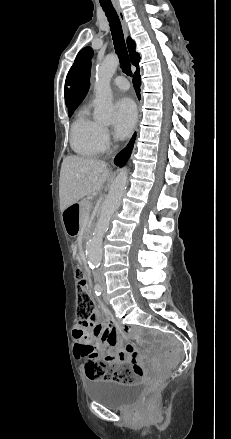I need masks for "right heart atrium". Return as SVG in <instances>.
Here are the masks:
<instances>
[{
  "instance_id": "right-heart-atrium-1",
  "label": "right heart atrium",
  "mask_w": 231,
  "mask_h": 439,
  "mask_svg": "<svg viewBox=\"0 0 231 439\" xmlns=\"http://www.w3.org/2000/svg\"><path fill=\"white\" fill-rule=\"evenodd\" d=\"M98 139L102 149H106L109 146L111 142V136L108 128L100 125L98 131Z\"/></svg>"
}]
</instances>
